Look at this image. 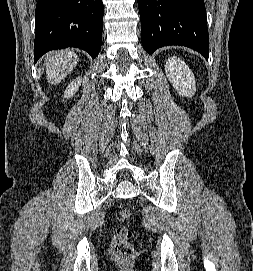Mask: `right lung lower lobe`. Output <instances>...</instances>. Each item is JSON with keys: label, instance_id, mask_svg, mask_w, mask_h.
I'll list each match as a JSON object with an SVG mask.
<instances>
[{"label": "right lung lower lobe", "instance_id": "right-lung-lower-lobe-1", "mask_svg": "<svg viewBox=\"0 0 253 271\" xmlns=\"http://www.w3.org/2000/svg\"><path fill=\"white\" fill-rule=\"evenodd\" d=\"M34 62L50 50L77 47L95 58L101 48L102 0H38Z\"/></svg>", "mask_w": 253, "mask_h": 271}]
</instances>
